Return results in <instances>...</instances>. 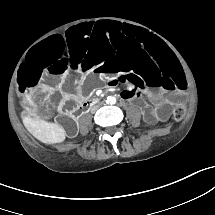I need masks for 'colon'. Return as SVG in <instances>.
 Segmentation results:
<instances>
[{"mask_svg": "<svg viewBox=\"0 0 215 215\" xmlns=\"http://www.w3.org/2000/svg\"><path fill=\"white\" fill-rule=\"evenodd\" d=\"M185 113V106L178 107L174 110V120L179 122L183 119Z\"/></svg>", "mask_w": 215, "mask_h": 215, "instance_id": "5ec220e1", "label": "colon"}]
</instances>
